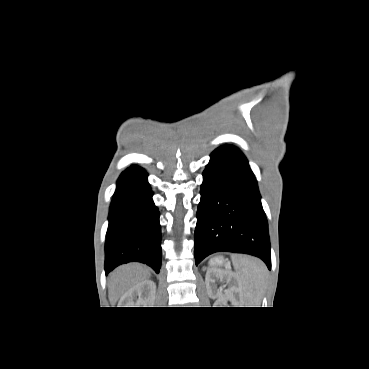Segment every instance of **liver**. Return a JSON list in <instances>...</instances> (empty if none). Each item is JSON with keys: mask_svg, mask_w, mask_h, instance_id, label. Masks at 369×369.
Masks as SVG:
<instances>
[{"mask_svg": "<svg viewBox=\"0 0 369 369\" xmlns=\"http://www.w3.org/2000/svg\"><path fill=\"white\" fill-rule=\"evenodd\" d=\"M150 271L141 264L131 263L116 268L108 282V296L111 305L136 284L149 279ZM114 307V306H112Z\"/></svg>", "mask_w": 369, "mask_h": 369, "instance_id": "1", "label": "liver"}]
</instances>
